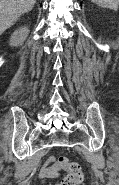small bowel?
I'll return each instance as SVG.
<instances>
[{
  "label": "small bowel",
  "instance_id": "1",
  "mask_svg": "<svg viewBox=\"0 0 119 185\" xmlns=\"http://www.w3.org/2000/svg\"><path fill=\"white\" fill-rule=\"evenodd\" d=\"M60 170L61 167L59 166L58 161L51 155L41 168L39 177L42 182H45L47 179L58 178L60 176Z\"/></svg>",
  "mask_w": 119,
  "mask_h": 185
}]
</instances>
